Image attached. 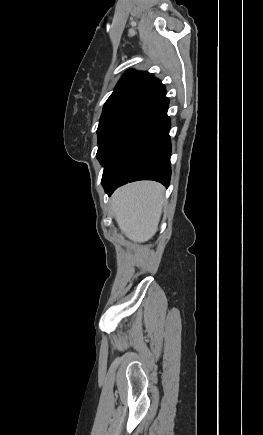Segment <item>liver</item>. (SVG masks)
<instances>
[{"mask_svg": "<svg viewBox=\"0 0 263 435\" xmlns=\"http://www.w3.org/2000/svg\"><path fill=\"white\" fill-rule=\"evenodd\" d=\"M164 187L153 181L127 184L112 196V211L122 233L134 243L151 239L158 229Z\"/></svg>", "mask_w": 263, "mask_h": 435, "instance_id": "6515ba94", "label": "liver"}]
</instances>
